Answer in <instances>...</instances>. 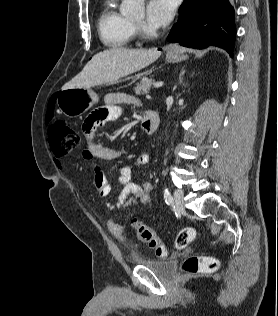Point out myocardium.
Wrapping results in <instances>:
<instances>
[{
    "label": "myocardium",
    "instance_id": "1",
    "mask_svg": "<svg viewBox=\"0 0 278 316\" xmlns=\"http://www.w3.org/2000/svg\"><path fill=\"white\" fill-rule=\"evenodd\" d=\"M136 26L139 30L140 35L142 36V38L144 39H150L153 38L155 36V34L147 29H145L140 23H136Z\"/></svg>",
    "mask_w": 278,
    "mask_h": 316
}]
</instances>
